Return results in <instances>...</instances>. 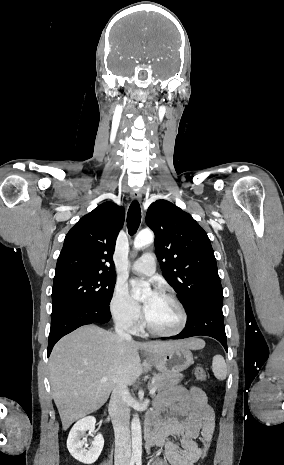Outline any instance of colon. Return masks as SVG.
Returning <instances> with one entry per match:
<instances>
[{
	"instance_id": "1",
	"label": "colon",
	"mask_w": 284,
	"mask_h": 465,
	"mask_svg": "<svg viewBox=\"0 0 284 465\" xmlns=\"http://www.w3.org/2000/svg\"><path fill=\"white\" fill-rule=\"evenodd\" d=\"M195 377L198 380L205 381L207 379V373L202 367H197L195 370ZM202 447L205 449L202 454V462H207L208 454L213 449L211 442L208 439H205L202 442Z\"/></svg>"
}]
</instances>
